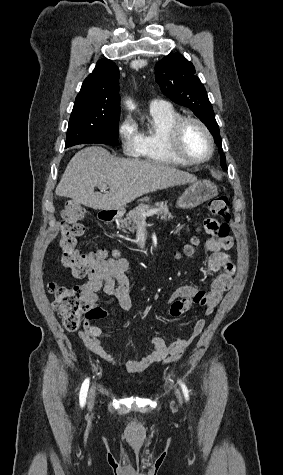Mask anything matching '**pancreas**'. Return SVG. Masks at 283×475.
Here are the masks:
<instances>
[{
	"label": "pancreas",
	"instance_id": "cf45deb5",
	"mask_svg": "<svg viewBox=\"0 0 283 475\" xmlns=\"http://www.w3.org/2000/svg\"><path fill=\"white\" fill-rule=\"evenodd\" d=\"M149 210L150 208H148V206H137L135 210H130L129 214H127V218H124V220H118L119 228H127L129 232H135V230H137V226H135V224L144 222L146 218L143 216V214L144 212H149ZM153 210H155L154 214L161 216V220H173L174 218L171 212H169L167 202H157Z\"/></svg>",
	"mask_w": 283,
	"mask_h": 475
}]
</instances>
